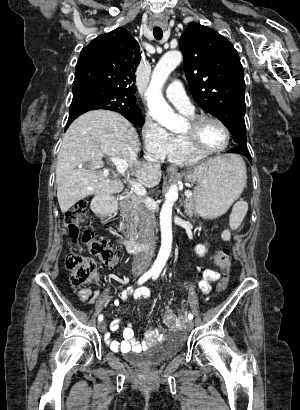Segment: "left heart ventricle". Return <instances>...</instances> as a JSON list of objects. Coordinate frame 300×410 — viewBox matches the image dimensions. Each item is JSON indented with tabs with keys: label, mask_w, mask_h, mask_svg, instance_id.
<instances>
[{
	"label": "left heart ventricle",
	"mask_w": 300,
	"mask_h": 410,
	"mask_svg": "<svg viewBox=\"0 0 300 410\" xmlns=\"http://www.w3.org/2000/svg\"><path fill=\"white\" fill-rule=\"evenodd\" d=\"M187 129L188 125L183 132ZM198 137L202 148L205 150L221 148L226 142L225 132L217 123L212 121H206L200 125Z\"/></svg>",
	"instance_id": "1"
}]
</instances>
